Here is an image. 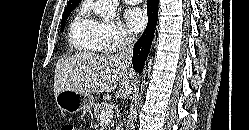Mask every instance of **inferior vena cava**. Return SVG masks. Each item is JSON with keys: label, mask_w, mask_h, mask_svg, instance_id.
<instances>
[{"label": "inferior vena cava", "mask_w": 249, "mask_h": 130, "mask_svg": "<svg viewBox=\"0 0 249 130\" xmlns=\"http://www.w3.org/2000/svg\"><path fill=\"white\" fill-rule=\"evenodd\" d=\"M135 42H136L135 37L129 34H125L123 36L120 50L116 55V60L129 71H133L132 54Z\"/></svg>", "instance_id": "obj_1"}]
</instances>
